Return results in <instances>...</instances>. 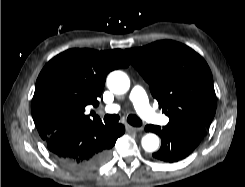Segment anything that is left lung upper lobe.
<instances>
[{"mask_svg": "<svg viewBox=\"0 0 245 187\" xmlns=\"http://www.w3.org/2000/svg\"><path fill=\"white\" fill-rule=\"evenodd\" d=\"M173 126L208 127L216 111L213 77L205 60L181 43L163 40L126 49Z\"/></svg>", "mask_w": 245, "mask_h": 187, "instance_id": "left-lung-upper-lobe-1", "label": "left lung upper lobe"}]
</instances>
